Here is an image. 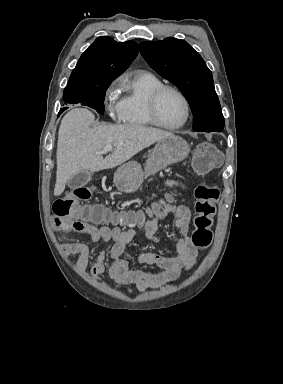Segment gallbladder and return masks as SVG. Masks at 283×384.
Wrapping results in <instances>:
<instances>
[{
    "instance_id": "obj_1",
    "label": "gallbladder",
    "mask_w": 283,
    "mask_h": 384,
    "mask_svg": "<svg viewBox=\"0 0 283 384\" xmlns=\"http://www.w3.org/2000/svg\"><path fill=\"white\" fill-rule=\"evenodd\" d=\"M91 180V174L89 172H80V174H76L73 176L71 180L68 182V188H72V186H81L84 188L85 184H88Z\"/></svg>"
}]
</instances>
